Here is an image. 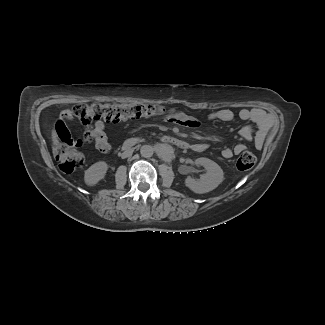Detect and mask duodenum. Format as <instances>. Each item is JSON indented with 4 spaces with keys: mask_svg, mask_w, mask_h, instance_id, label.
<instances>
[{
    "mask_svg": "<svg viewBox=\"0 0 325 325\" xmlns=\"http://www.w3.org/2000/svg\"><path fill=\"white\" fill-rule=\"evenodd\" d=\"M162 141L165 144H170L180 149H187L189 147L187 142L173 136L165 135L162 137ZM140 142H141L140 138L127 139L126 141L123 142L122 147L123 149H130L136 146L137 144H139Z\"/></svg>",
    "mask_w": 325,
    "mask_h": 325,
    "instance_id": "obj_1",
    "label": "duodenum"
}]
</instances>
